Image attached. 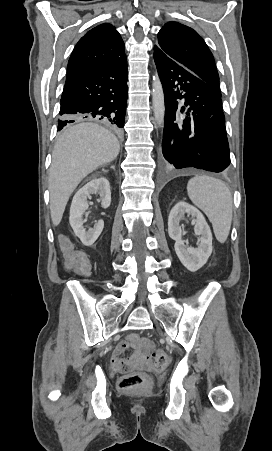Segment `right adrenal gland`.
<instances>
[{
    "mask_svg": "<svg viewBox=\"0 0 272 451\" xmlns=\"http://www.w3.org/2000/svg\"><path fill=\"white\" fill-rule=\"evenodd\" d=\"M111 168H113V170H115V166H111Z\"/></svg>",
    "mask_w": 272,
    "mask_h": 451,
    "instance_id": "obj_1",
    "label": "right adrenal gland"
}]
</instances>
